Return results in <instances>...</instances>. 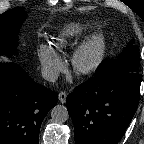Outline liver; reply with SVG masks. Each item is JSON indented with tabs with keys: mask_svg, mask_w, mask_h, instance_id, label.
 <instances>
[{
	"mask_svg": "<svg viewBox=\"0 0 144 144\" xmlns=\"http://www.w3.org/2000/svg\"><path fill=\"white\" fill-rule=\"evenodd\" d=\"M2 60H4L5 62H9L10 61L7 57H3Z\"/></svg>",
	"mask_w": 144,
	"mask_h": 144,
	"instance_id": "1",
	"label": "liver"
}]
</instances>
